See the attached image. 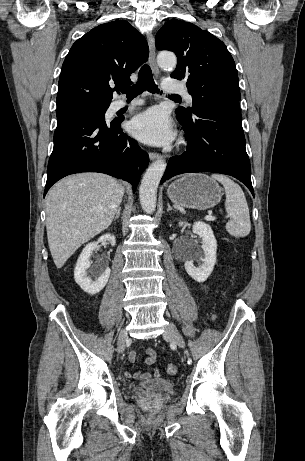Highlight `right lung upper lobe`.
I'll list each match as a JSON object with an SVG mask.
<instances>
[{
    "instance_id": "cb5924a9",
    "label": "right lung upper lobe",
    "mask_w": 305,
    "mask_h": 461,
    "mask_svg": "<svg viewBox=\"0 0 305 461\" xmlns=\"http://www.w3.org/2000/svg\"><path fill=\"white\" fill-rule=\"evenodd\" d=\"M148 44L126 21L101 24L71 47L62 65L57 109L110 104L111 85L131 84L129 75L147 60Z\"/></svg>"
}]
</instances>
